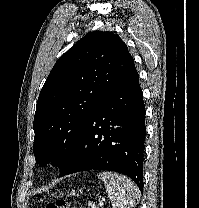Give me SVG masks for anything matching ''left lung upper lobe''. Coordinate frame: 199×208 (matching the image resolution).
Returning <instances> with one entry per match:
<instances>
[{"mask_svg": "<svg viewBox=\"0 0 199 208\" xmlns=\"http://www.w3.org/2000/svg\"><path fill=\"white\" fill-rule=\"evenodd\" d=\"M133 64L120 37L101 31L87 34L57 60L37 101L36 163L64 164L92 112Z\"/></svg>", "mask_w": 199, "mask_h": 208, "instance_id": "left-lung-upper-lobe-1", "label": "left lung upper lobe"}]
</instances>
